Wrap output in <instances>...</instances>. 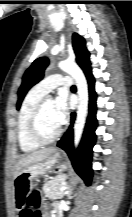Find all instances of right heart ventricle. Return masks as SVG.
<instances>
[{
    "mask_svg": "<svg viewBox=\"0 0 132 217\" xmlns=\"http://www.w3.org/2000/svg\"><path fill=\"white\" fill-rule=\"evenodd\" d=\"M45 95L37 87H33L22 102L18 116L17 137L20 149L25 153L33 152L41 146L34 142L29 135V119L35 106Z\"/></svg>",
    "mask_w": 132,
    "mask_h": 217,
    "instance_id": "right-heart-ventricle-1",
    "label": "right heart ventricle"
}]
</instances>
